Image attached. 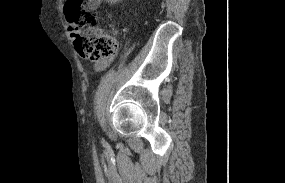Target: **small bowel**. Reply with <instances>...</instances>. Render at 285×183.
<instances>
[{
	"mask_svg": "<svg viewBox=\"0 0 285 183\" xmlns=\"http://www.w3.org/2000/svg\"><path fill=\"white\" fill-rule=\"evenodd\" d=\"M102 0H87L86 5L89 9L95 10L99 8ZM112 59L108 58L94 64V70L98 73L103 72L110 65Z\"/></svg>",
	"mask_w": 285,
	"mask_h": 183,
	"instance_id": "small-bowel-1",
	"label": "small bowel"
}]
</instances>
